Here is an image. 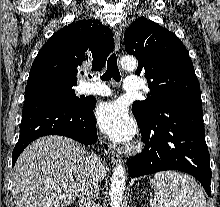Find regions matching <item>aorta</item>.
<instances>
[{
	"label": "aorta",
	"instance_id": "aorta-1",
	"mask_svg": "<svg viewBox=\"0 0 220 207\" xmlns=\"http://www.w3.org/2000/svg\"><path fill=\"white\" fill-rule=\"evenodd\" d=\"M120 65L125 70H135L137 68V60L133 56H124L120 61ZM126 174L123 165L119 164L114 168L110 184V203L111 207H121L122 197L125 190Z\"/></svg>",
	"mask_w": 220,
	"mask_h": 207
}]
</instances>
